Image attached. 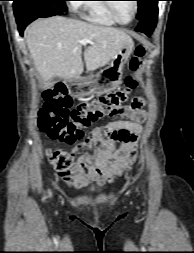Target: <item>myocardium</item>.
<instances>
[{"instance_id": "myocardium-1", "label": "myocardium", "mask_w": 194, "mask_h": 253, "mask_svg": "<svg viewBox=\"0 0 194 253\" xmlns=\"http://www.w3.org/2000/svg\"><path fill=\"white\" fill-rule=\"evenodd\" d=\"M107 1H108V2L105 3V4H106V8H107L108 12L110 13V15L112 16V18H113L116 22H118V23H120V24H129V23L132 22V21L134 20V18L136 17L137 12H138V8H139L138 2H137L136 0L133 1V2H134V12H133V15H132V17H131L129 20H127V21H123V20H121V19L119 18V16H118L117 13H116V10H115V8H114V6H113V3L111 2L112 0H107Z\"/></svg>"}]
</instances>
